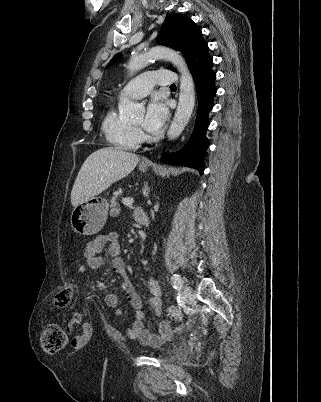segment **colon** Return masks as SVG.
<instances>
[{
  "instance_id": "colon-1",
  "label": "colon",
  "mask_w": 321,
  "mask_h": 402,
  "mask_svg": "<svg viewBox=\"0 0 321 402\" xmlns=\"http://www.w3.org/2000/svg\"><path fill=\"white\" fill-rule=\"evenodd\" d=\"M73 291L71 288H65L59 291L54 297V306L56 308H66L72 303ZM167 314L175 319L182 320V311L174 306H169ZM68 343L67 333L54 323H46L41 330L40 345L47 354H55L63 350Z\"/></svg>"
}]
</instances>
